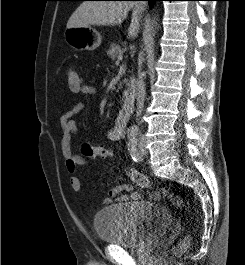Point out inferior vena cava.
Returning a JSON list of instances; mask_svg holds the SVG:
<instances>
[{
  "instance_id": "1",
  "label": "inferior vena cava",
  "mask_w": 245,
  "mask_h": 265,
  "mask_svg": "<svg viewBox=\"0 0 245 265\" xmlns=\"http://www.w3.org/2000/svg\"><path fill=\"white\" fill-rule=\"evenodd\" d=\"M136 101H137L136 117H137V121H139L140 116L143 111L144 101H145V82L141 74V66H139V69H138Z\"/></svg>"
}]
</instances>
